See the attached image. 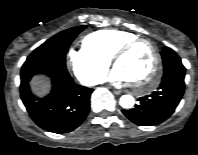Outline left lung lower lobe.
<instances>
[{
	"label": "left lung lower lobe",
	"mask_w": 198,
	"mask_h": 155,
	"mask_svg": "<svg viewBox=\"0 0 198 155\" xmlns=\"http://www.w3.org/2000/svg\"><path fill=\"white\" fill-rule=\"evenodd\" d=\"M185 68H174L162 77L158 89L149 96L139 98L135 108L123 110L133 123L142 126L157 125L175 111L184 93Z\"/></svg>",
	"instance_id": "0a47b994"
}]
</instances>
